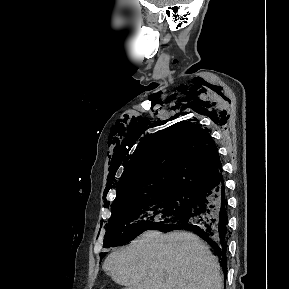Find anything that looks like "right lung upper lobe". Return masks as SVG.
<instances>
[{
  "label": "right lung upper lobe",
  "mask_w": 289,
  "mask_h": 289,
  "mask_svg": "<svg viewBox=\"0 0 289 289\" xmlns=\"http://www.w3.org/2000/svg\"><path fill=\"white\" fill-rule=\"evenodd\" d=\"M122 174L112 205L130 197L171 190L194 191L222 175L210 130L179 122L141 140Z\"/></svg>",
  "instance_id": "obj_1"
}]
</instances>
